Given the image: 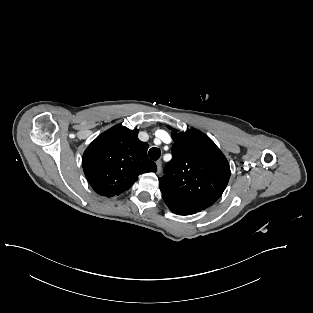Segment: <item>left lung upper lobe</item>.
Returning <instances> with one entry per match:
<instances>
[{
    "label": "left lung upper lobe",
    "instance_id": "obj_1",
    "mask_svg": "<svg viewBox=\"0 0 313 313\" xmlns=\"http://www.w3.org/2000/svg\"><path fill=\"white\" fill-rule=\"evenodd\" d=\"M173 159L159 179L162 196L201 211L224 192L230 166L220 149L199 130L178 133L173 128Z\"/></svg>",
    "mask_w": 313,
    "mask_h": 313
}]
</instances>
